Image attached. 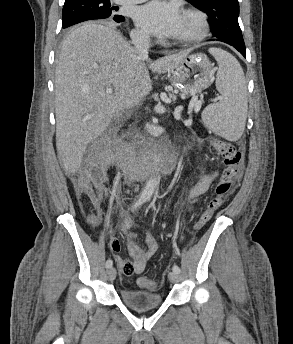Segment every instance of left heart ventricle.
Masks as SVG:
<instances>
[{
  "instance_id": "left-heart-ventricle-1",
  "label": "left heart ventricle",
  "mask_w": 293,
  "mask_h": 344,
  "mask_svg": "<svg viewBox=\"0 0 293 344\" xmlns=\"http://www.w3.org/2000/svg\"><path fill=\"white\" fill-rule=\"evenodd\" d=\"M194 30V23L191 19L183 16V22L180 31L174 36V39H180L189 36Z\"/></svg>"
}]
</instances>
